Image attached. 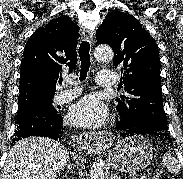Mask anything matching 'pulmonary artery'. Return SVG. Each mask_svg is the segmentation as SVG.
I'll return each mask as SVG.
<instances>
[{
	"instance_id": "e3ab8cb5",
	"label": "pulmonary artery",
	"mask_w": 183,
	"mask_h": 179,
	"mask_svg": "<svg viewBox=\"0 0 183 179\" xmlns=\"http://www.w3.org/2000/svg\"><path fill=\"white\" fill-rule=\"evenodd\" d=\"M96 82L98 85H100L102 87H112L115 85V76H114L113 72L108 71V70H103L97 74ZM71 84L75 85V83H73V82H71ZM79 93H80L79 88L61 91V92H58L54 96V101L56 103H65V102L73 99Z\"/></svg>"
}]
</instances>
